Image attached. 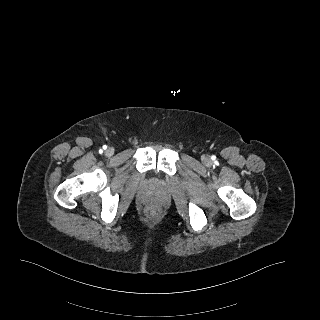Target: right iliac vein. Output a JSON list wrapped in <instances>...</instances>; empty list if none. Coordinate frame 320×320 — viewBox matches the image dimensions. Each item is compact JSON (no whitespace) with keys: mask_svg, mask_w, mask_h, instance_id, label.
Segmentation results:
<instances>
[{"mask_svg":"<svg viewBox=\"0 0 320 320\" xmlns=\"http://www.w3.org/2000/svg\"><path fill=\"white\" fill-rule=\"evenodd\" d=\"M107 156H112L114 154V149L113 148H108L105 152Z\"/></svg>","mask_w":320,"mask_h":320,"instance_id":"right-iliac-vein-1","label":"right iliac vein"}]
</instances>
